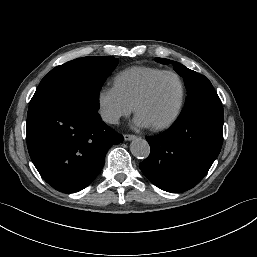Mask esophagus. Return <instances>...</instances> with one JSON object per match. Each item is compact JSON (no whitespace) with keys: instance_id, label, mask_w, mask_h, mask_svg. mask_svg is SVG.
Listing matches in <instances>:
<instances>
[{"instance_id":"esophagus-1","label":"esophagus","mask_w":257,"mask_h":257,"mask_svg":"<svg viewBox=\"0 0 257 257\" xmlns=\"http://www.w3.org/2000/svg\"><path fill=\"white\" fill-rule=\"evenodd\" d=\"M124 140L125 141H130V140H133L136 138V135H133V134H124Z\"/></svg>"}]
</instances>
